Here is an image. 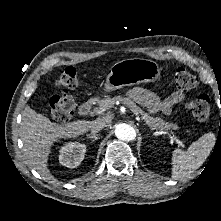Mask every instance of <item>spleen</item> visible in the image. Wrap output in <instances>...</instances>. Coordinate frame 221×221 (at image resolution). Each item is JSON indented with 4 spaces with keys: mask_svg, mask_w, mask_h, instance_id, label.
Instances as JSON below:
<instances>
[{
    "mask_svg": "<svg viewBox=\"0 0 221 221\" xmlns=\"http://www.w3.org/2000/svg\"><path fill=\"white\" fill-rule=\"evenodd\" d=\"M215 145V135L207 133L190 145L187 151L172 152V179L178 180L192 174L207 159Z\"/></svg>",
    "mask_w": 221,
    "mask_h": 221,
    "instance_id": "1",
    "label": "spleen"
}]
</instances>
